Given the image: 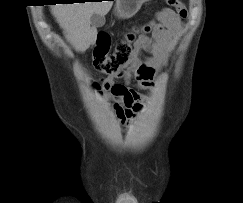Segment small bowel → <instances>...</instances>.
I'll return each instance as SVG.
<instances>
[{
	"mask_svg": "<svg viewBox=\"0 0 243 203\" xmlns=\"http://www.w3.org/2000/svg\"><path fill=\"white\" fill-rule=\"evenodd\" d=\"M182 22L171 10L160 14V22L152 37L140 36L134 43L133 57L127 70L103 78L102 86L109 93L112 108L123 125L133 124L148 106V100L128 84L135 80L144 89H156V72L163 67L174 38L182 31ZM147 54V56H144ZM124 80L125 84L117 80Z\"/></svg>",
	"mask_w": 243,
	"mask_h": 203,
	"instance_id": "obj_1",
	"label": "small bowel"
}]
</instances>
